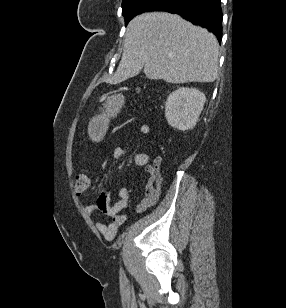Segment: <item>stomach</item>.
I'll return each mask as SVG.
<instances>
[{"mask_svg":"<svg viewBox=\"0 0 286 308\" xmlns=\"http://www.w3.org/2000/svg\"><path fill=\"white\" fill-rule=\"evenodd\" d=\"M123 103V98L120 97V94L117 93L115 89H112L110 93L107 94V97L102 98V103H100V109H95L94 114L97 117L92 119V128L93 129H107L108 124H114V110H121V104ZM95 142L100 140L98 135L93 137Z\"/></svg>","mask_w":286,"mask_h":308,"instance_id":"stomach-1","label":"stomach"}]
</instances>
